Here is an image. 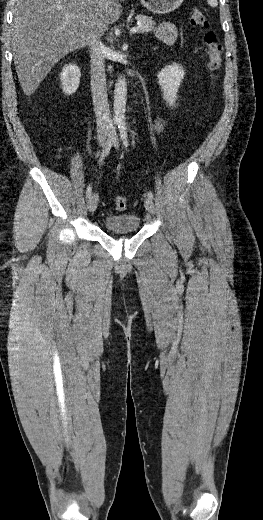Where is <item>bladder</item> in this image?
Returning <instances> with one entry per match:
<instances>
[{
	"label": "bladder",
	"instance_id": "obj_1",
	"mask_svg": "<svg viewBox=\"0 0 263 520\" xmlns=\"http://www.w3.org/2000/svg\"><path fill=\"white\" fill-rule=\"evenodd\" d=\"M103 227L113 234L134 233L141 228V219L135 213L109 214L103 220Z\"/></svg>",
	"mask_w": 263,
	"mask_h": 520
}]
</instances>
